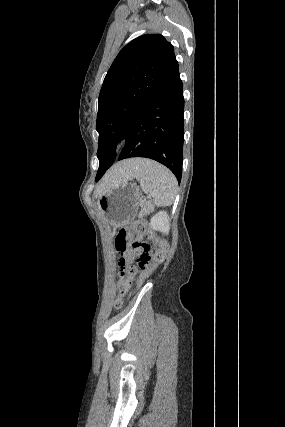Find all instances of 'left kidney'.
I'll return each instance as SVG.
<instances>
[{
    "label": "left kidney",
    "mask_w": 285,
    "mask_h": 427,
    "mask_svg": "<svg viewBox=\"0 0 285 427\" xmlns=\"http://www.w3.org/2000/svg\"><path fill=\"white\" fill-rule=\"evenodd\" d=\"M154 230L168 234L170 230L169 216L165 211H159L150 220Z\"/></svg>",
    "instance_id": "5707ae66"
}]
</instances>
